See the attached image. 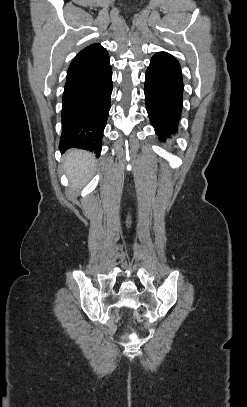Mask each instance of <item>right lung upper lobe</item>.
<instances>
[{"label":"right lung upper lobe","instance_id":"1","mask_svg":"<svg viewBox=\"0 0 247 407\" xmlns=\"http://www.w3.org/2000/svg\"><path fill=\"white\" fill-rule=\"evenodd\" d=\"M106 56H108V53L100 44L96 43L87 46L73 59L69 66L67 77L85 70Z\"/></svg>","mask_w":247,"mask_h":407}]
</instances>
